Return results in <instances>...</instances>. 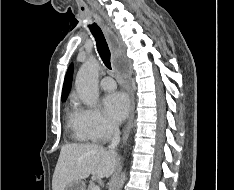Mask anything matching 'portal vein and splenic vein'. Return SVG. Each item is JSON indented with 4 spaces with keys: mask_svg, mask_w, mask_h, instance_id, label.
Masks as SVG:
<instances>
[{
    "mask_svg": "<svg viewBox=\"0 0 234 190\" xmlns=\"http://www.w3.org/2000/svg\"><path fill=\"white\" fill-rule=\"evenodd\" d=\"M92 190H100V187L95 185V186H93Z\"/></svg>",
    "mask_w": 234,
    "mask_h": 190,
    "instance_id": "18ae733b",
    "label": "portal vein and splenic vein"
}]
</instances>
